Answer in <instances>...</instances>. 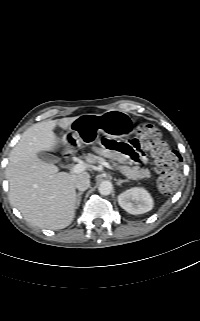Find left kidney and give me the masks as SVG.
<instances>
[{"instance_id": "obj_1", "label": "left kidney", "mask_w": 200, "mask_h": 321, "mask_svg": "<svg viewBox=\"0 0 200 321\" xmlns=\"http://www.w3.org/2000/svg\"><path fill=\"white\" fill-rule=\"evenodd\" d=\"M121 208L130 214L137 215L146 213L153 208V199L144 188L134 187L118 196Z\"/></svg>"}]
</instances>
